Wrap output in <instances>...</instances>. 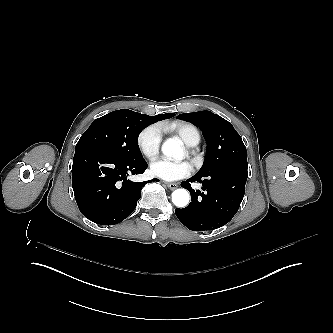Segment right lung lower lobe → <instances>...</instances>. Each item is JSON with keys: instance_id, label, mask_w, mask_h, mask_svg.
I'll list each match as a JSON object with an SVG mask.
<instances>
[{"instance_id": "1", "label": "right lung lower lobe", "mask_w": 333, "mask_h": 333, "mask_svg": "<svg viewBox=\"0 0 333 333\" xmlns=\"http://www.w3.org/2000/svg\"><path fill=\"white\" fill-rule=\"evenodd\" d=\"M146 168L144 159L132 162L112 156L99 147L77 146L72 187L80 212L102 225L122 222L136 208L146 184L134 183L127 176L142 174Z\"/></svg>"}]
</instances>
